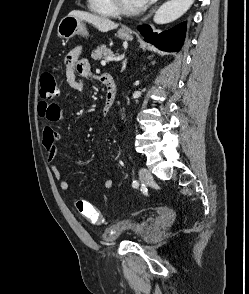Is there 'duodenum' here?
<instances>
[{
    "mask_svg": "<svg viewBox=\"0 0 249 294\" xmlns=\"http://www.w3.org/2000/svg\"><path fill=\"white\" fill-rule=\"evenodd\" d=\"M99 81L105 87V98H104V103L102 107V115L106 117L112 110L113 105L115 103L116 95H117V87H116L115 80L110 74H101L99 76Z\"/></svg>",
    "mask_w": 249,
    "mask_h": 294,
    "instance_id": "410a0bca",
    "label": "duodenum"
}]
</instances>
